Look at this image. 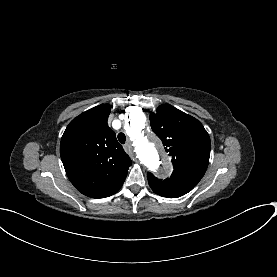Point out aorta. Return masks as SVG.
<instances>
[{"instance_id": "aorta-1", "label": "aorta", "mask_w": 277, "mask_h": 277, "mask_svg": "<svg viewBox=\"0 0 277 277\" xmlns=\"http://www.w3.org/2000/svg\"><path fill=\"white\" fill-rule=\"evenodd\" d=\"M146 117L143 113H132L126 123V131L130 139L134 141L136 153L140 161L151 170H157L162 164L165 167L170 163L162 151V145L154 135L145 136Z\"/></svg>"}]
</instances>
